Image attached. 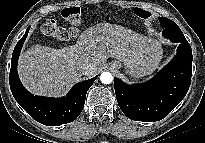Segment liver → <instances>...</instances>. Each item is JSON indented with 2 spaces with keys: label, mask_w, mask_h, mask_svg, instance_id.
Segmentation results:
<instances>
[{
  "label": "liver",
  "mask_w": 205,
  "mask_h": 143,
  "mask_svg": "<svg viewBox=\"0 0 205 143\" xmlns=\"http://www.w3.org/2000/svg\"><path fill=\"white\" fill-rule=\"evenodd\" d=\"M161 48L142 34L121 25L99 23L83 31L75 45L60 49L33 45L18 60L23 86L35 95L59 97L82 77L84 63L95 65V75L108 57L116 58L130 69L143 65L152 72L158 65L155 50ZM92 75V76H93Z\"/></svg>",
  "instance_id": "1"
}]
</instances>
